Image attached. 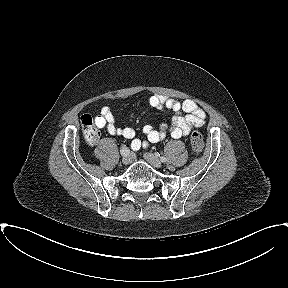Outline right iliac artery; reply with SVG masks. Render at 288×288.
Here are the masks:
<instances>
[{"label": "right iliac artery", "mask_w": 288, "mask_h": 288, "mask_svg": "<svg viewBox=\"0 0 288 288\" xmlns=\"http://www.w3.org/2000/svg\"><path fill=\"white\" fill-rule=\"evenodd\" d=\"M120 152H121L123 158L129 157L130 150L126 146H123L121 148Z\"/></svg>", "instance_id": "obj_1"}]
</instances>
